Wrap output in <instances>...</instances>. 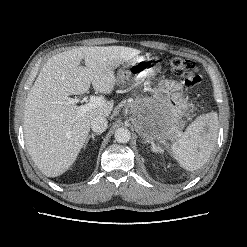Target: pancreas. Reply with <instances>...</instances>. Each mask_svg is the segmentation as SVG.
Here are the masks:
<instances>
[{
  "mask_svg": "<svg viewBox=\"0 0 247 247\" xmlns=\"http://www.w3.org/2000/svg\"><path fill=\"white\" fill-rule=\"evenodd\" d=\"M136 103H137V101H134V102L131 103V105H134L136 107L137 106Z\"/></svg>",
  "mask_w": 247,
  "mask_h": 247,
  "instance_id": "cf45deb5",
  "label": "pancreas"
}]
</instances>
